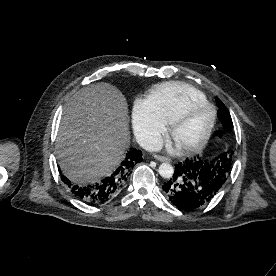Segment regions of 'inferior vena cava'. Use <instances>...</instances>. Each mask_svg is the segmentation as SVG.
Here are the masks:
<instances>
[{
	"label": "inferior vena cava",
	"mask_w": 276,
	"mask_h": 276,
	"mask_svg": "<svg viewBox=\"0 0 276 276\" xmlns=\"http://www.w3.org/2000/svg\"><path fill=\"white\" fill-rule=\"evenodd\" d=\"M139 145L150 152L160 151L163 147L162 138L159 135H146L138 138Z\"/></svg>",
	"instance_id": "1"
}]
</instances>
